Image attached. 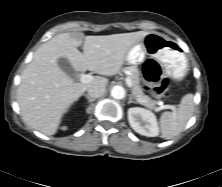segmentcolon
Returning <instances> with one entry per match:
<instances>
[{
	"label": "colon",
	"instance_id": "5ec220e1",
	"mask_svg": "<svg viewBox=\"0 0 222 187\" xmlns=\"http://www.w3.org/2000/svg\"><path fill=\"white\" fill-rule=\"evenodd\" d=\"M143 78L146 90L154 96L166 97L170 87L168 79H162L159 65L152 59L146 61L143 67Z\"/></svg>",
	"mask_w": 222,
	"mask_h": 187
}]
</instances>
